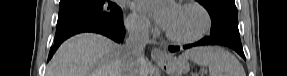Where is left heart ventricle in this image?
Masks as SVG:
<instances>
[{
  "label": "left heart ventricle",
  "instance_id": "b2bd125f",
  "mask_svg": "<svg viewBox=\"0 0 287 76\" xmlns=\"http://www.w3.org/2000/svg\"><path fill=\"white\" fill-rule=\"evenodd\" d=\"M202 24L203 18L197 10L178 7L173 20L166 30L172 35L186 37L196 33Z\"/></svg>",
  "mask_w": 287,
  "mask_h": 76
}]
</instances>
